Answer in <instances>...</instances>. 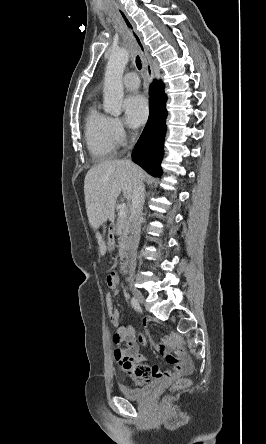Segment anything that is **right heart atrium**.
<instances>
[{
  "label": "right heart atrium",
  "instance_id": "right-heart-atrium-1",
  "mask_svg": "<svg viewBox=\"0 0 266 444\" xmlns=\"http://www.w3.org/2000/svg\"><path fill=\"white\" fill-rule=\"evenodd\" d=\"M111 129L114 139L117 143L125 141L127 132L122 121L119 118H111Z\"/></svg>",
  "mask_w": 266,
  "mask_h": 444
}]
</instances>
